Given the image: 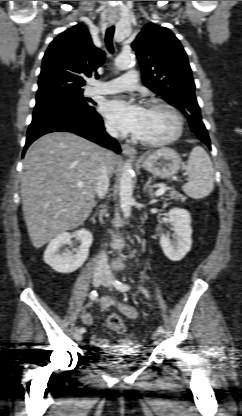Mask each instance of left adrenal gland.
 Masks as SVG:
<instances>
[{
    "mask_svg": "<svg viewBox=\"0 0 242 416\" xmlns=\"http://www.w3.org/2000/svg\"><path fill=\"white\" fill-rule=\"evenodd\" d=\"M151 182H152V178L149 177L148 181L146 182V184L143 187V191L147 192L150 197L153 196V186L151 185Z\"/></svg>",
    "mask_w": 242,
    "mask_h": 416,
    "instance_id": "obj_1",
    "label": "left adrenal gland"
}]
</instances>
